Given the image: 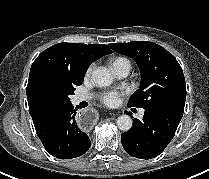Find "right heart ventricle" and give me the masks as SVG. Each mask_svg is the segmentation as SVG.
<instances>
[{"mask_svg":"<svg viewBox=\"0 0 209 179\" xmlns=\"http://www.w3.org/2000/svg\"><path fill=\"white\" fill-rule=\"evenodd\" d=\"M120 63L127 64V65L131 66L129 60L125 57H116V58L112 59V61H111L112 66L115 64H120Z\"/></svg>","mask_w":209,"mask_h":179,"instance_id":"obj_1","label":"right heart ventricle"}]
</instances>
